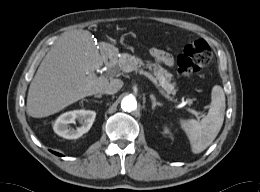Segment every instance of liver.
Returning a JSON list of instances; mask_svg holds the SVG:
<instances>
[{"label":"liver","instance_id":"liver-1","mask_svg":"<svg viewBox=\"0 0 260 192\" xmlns=\"http://www.w3.org/2000/svg\"><path fill=\"white\" fill-rule=\"evenodd\" d=\"M103 60L89 31L65 33L48 51L30 83L28 114L47 117L82 98L102 93L109 81L95 71Z\"/></svg>","mask_w":260,"mask_h":192}]
</instances>
